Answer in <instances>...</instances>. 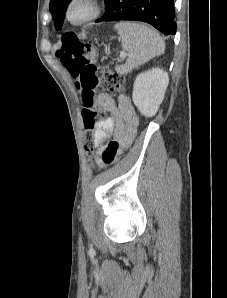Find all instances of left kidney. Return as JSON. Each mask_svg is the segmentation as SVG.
<instances>
[{"instance_id":"left-kidney-1","label":"left kidney","mask_w":227,"mask_h":298,"mask_svg":"<svg viewBox=\"0 0 227 298\" xmlns=\"http://www.w3.org/2000/svg\"><path fill=\"white\" fill-rule=\"evenodd\" d=\"M168 84V73L160 68H152L136 77L132 99L142 115L152 117L157 113Z\"/></svg>"}]
</instances>
